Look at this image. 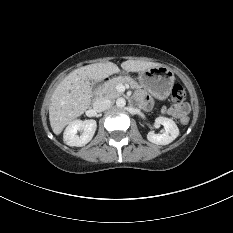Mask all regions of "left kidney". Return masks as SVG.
I'll return each mask as SVG.
<instances>
[{
	"mask_svg": "<svg viewBox=\"0 0 233 233\" xmlns=\"http://www.w3.org/2000/svg\"><path fill=\"white\" fill-rule=\"evenodd\" d=\"M155 123L164 126V132L162 134H155L153 131L147 134V139L157 145H167L173 142L179 135V129L176 123L166 117H158L155 119Z\"/></svg>",
	"mask_w": 233,
	"mask_h": 233,
	"instance_id": "5707ae66",
	"label": "left kidney"
}]
</instances>
